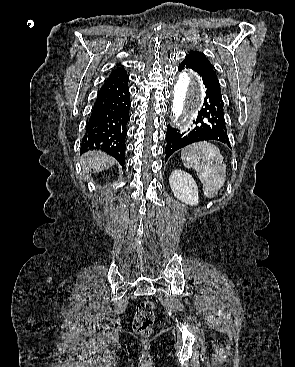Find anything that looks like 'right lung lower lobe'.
Wrapping results in <instances>:
<instances>
[{
	"mask_svg": "<svg viewBox=\"0 0 295 367\" xmlns=\"http://www.w3.org/2000/svg\"><path fill=\"white\" fill-rule=\"evenodd\" d=\"M130 106L128 78L106 80L97 95L80 152L101 150L123 166Z\"/></svg>",
	"mask_w": 295,
	"mask_h": 367,
	"instance_id": "98d812e1",
	"label": "right lung lower lobe"
}]
</instances>
